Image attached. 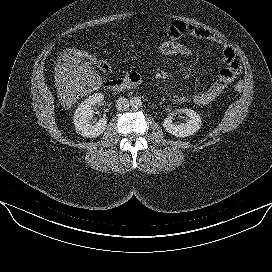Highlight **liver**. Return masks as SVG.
<instances>
[{
	"label": "liver",
	"instance_id": "liver-1",
	"mask_svg": "<svg viewBox=\"0 0 272 272\" xmlns=\"http://www.w3.org/2000/svg\"><path fill=\"white\" fill-rule=\"evenodd\" d=\"M54 71L57 96L66 109L103 84L99 73L88 62L70 53L59 57Z\"/></svg>",
	"mask_w": 272,
	"mask_h": 272
}]
</instances>
